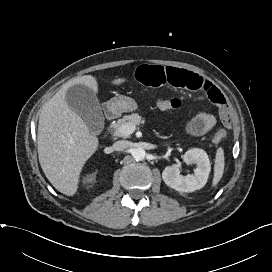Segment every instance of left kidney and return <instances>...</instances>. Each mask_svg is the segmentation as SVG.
<instances>
[{
    "mask_svg": "<svg viewBox=\"0 0 272 272\" xmlns=\"http://www.w3.org/2000/svg\"><path fill=\"white\" fill-rule=\"evenodd\" d=\"M183 160L186 164H195L197 166L194 175H180V166L173 164L163 170L162 178L164 182L179 192H193L203 188L207 183L211 170L207 153L202 149L193 148L184 154Z\"/></svg>",
    "mask_w": 272,
    "mask_h": 272,
    "instance_id": "obj_1",
    "label": "left kidney"
}]
</instances>
